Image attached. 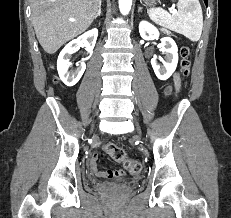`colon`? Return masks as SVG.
Listing matches in <instances>:
<instances>
[{
  "label": "colon",
  "mask_w": 231,
  "mask_h": 218,
  "mask_svg": "<svg viewBox=\"0 0 231 218\" xmlns=\"http://www.w3.org/2000/svg\"><path fill=\"white\" fill-rule=\"evenodd\" d=\"M181 55V71L184 76H188L190 72V49L187 46H183L180 50ZM103 149L106 153H108L111 158L117 162L123 164L124 168L130 174H138L140 173L142 166L141 163L135 159L128 158L126 152L123 148L119 147L114 143H105L103 145Z\"/></svg>",
  "instance_id": "obj_1"
}]
</instances>
